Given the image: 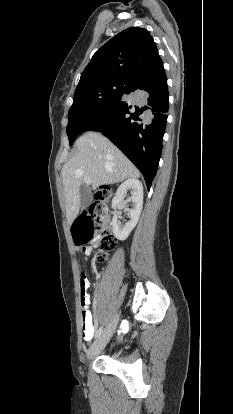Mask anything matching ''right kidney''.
I'll return each instance as SVG.
<instances>
[{
	"mask_svg": "<svg viewBox=\"0 0 233 414\" xmlns=\"http://www.w3.org/2000/svg\"><path fill=\"white\" fill-rule=\"evenodd\" d=\"M127 190H130L131 197L127 201H124V195ZM128 201L133 202V208L128 211L130 220L125 223H121L116 214L112 219L113 233L119 240H125L129 236L130 232L138 223L139 217L141 215L143 207V186L142 183L137 179H128L119 186L115 197L112 200V207L113 209H116Z\"/></svg>",
	"mask_w": 233,
	"mask_h": 414,
	"instance_id": "ca27d5eb",
	"label": "right kidney"
}]
</instances>
